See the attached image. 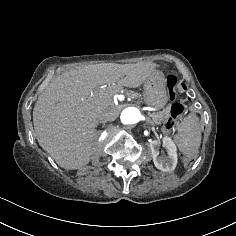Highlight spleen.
<instances>
[{"label": "spleen", "mask_w": 236, "mask_h": 236, "mask_svg": "<svg viewBox=\"0 0 236 236\" xmlns=\"http://www.w3.org/2000/svg\"><path fill=\"white\" fill-rule=\"evenodd\" d=\"M177 128L178 134L174 136V141L179 150L188 157L194 156L201 142V128L198 117L195 113H190Z\"/></svg>", "instance_id": "obj_1"}]
</instances>
